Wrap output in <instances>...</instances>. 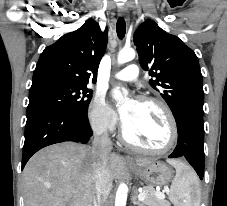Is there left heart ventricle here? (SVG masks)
Returning <instances> with one entry per match:
<instances>
[{"label":"left heart ventricle","mask_w":227,"mask_h":206,"mask_svg":"<svg viewBox=\"0 0 227 206\" xmlns=\"http://www.w3.org/2000/svg\"><path fill=\"white\" fill-rule=\"evenodd\" d=\"M130 106L131 103L125 109ZM125 130L132 141L150 149L164 147L170 137L168 120L162 109L154 104L137 102Z\"/></svg>","instance_id":"1"}]
</instances>
